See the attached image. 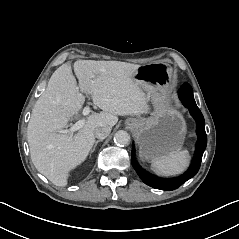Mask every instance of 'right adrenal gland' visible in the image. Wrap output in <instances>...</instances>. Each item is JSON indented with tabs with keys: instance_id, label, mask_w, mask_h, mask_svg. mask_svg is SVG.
I'll list each match as a JSON object with an SVG mask.
<instances>
[{
	"instance_id": "1",
	"label": "right adrenal gland",
	"mask_w": 239,
	"mask_h": 239,
	"mask_svg": "<svg viewBox=\"0 0 239 239\" xmlns=\"http://www.w3.org/2000/svg\"><path fill=\"white\" fill-rule=\"evenodd\" d=\"M102 141H103V139L97 140V141L95 142V144H94L93 150H95L96 147H97V145H98V143H99V142H102Z\"/></svg>"
}]
</instances>
